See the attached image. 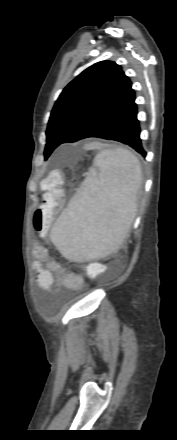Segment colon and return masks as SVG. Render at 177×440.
Segmentation results:
<instances>
[{
	"mask_svg": "<svg viewBox=\"0 0 177 440\" xmlns=\"http://www.w3.org/2000/svg\"><path fill=\"white\" fill-rule=\"evenodd\" d=\"M63 181V172L60 169H53L42 183L44 190L43 204L36 210L33 221L34 228L37 231H46L54 215L62 209L64 203V195L61 188ZM75 277L79 276L72 274L69 279L73 280Z\"/></svg>",
	"mask_w": 177,
	"mask_h": 440,
	"instance_id": "5ec220e1",
	"label": "colon"
}]
</instances>
